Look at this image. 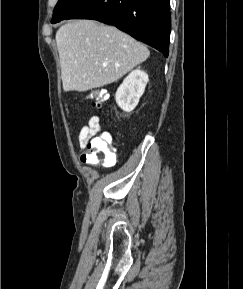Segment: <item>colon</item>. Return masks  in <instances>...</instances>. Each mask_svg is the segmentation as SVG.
<instances>
[{
	"instance_id": "colon-1",
	"label": "colon",
	"mask_w": 243,
	"mask_h": 289,
	"mask_svg": "<svg viewBox=\"0 0 243 289\" xmlns=\"http://www.w3.org/2000/svg\"><path fill=\"white\" fill-rule=\"evenodd\" d=\"M87 97L93 100L94 107L100 110L108 95L104 90L95 89L90 91ZM86 148L87 151L81 157L83 163L111 165L115 161L111 135L108 132H104L101 136L91 140Z\"/></svg>"
}]
</instances>
